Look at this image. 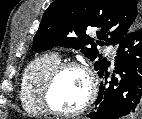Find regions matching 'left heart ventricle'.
<instances>
[{
    "label": "left heart ventricle",
    "instance_id": "1",
    "mask_svg": "<svg viewBox=\"0 0 142 119\" xmlns=\"http://www.w3.org/2000/svg\"><path fill=\"white\" fill-rule=\"evenodd\" d=\"M88 93V82L85 75L76 69L63 72L55 83L51 101L61 111H73L85 101Z\"/></svg>",
    "mask_w": 142,
    "mask_h": 119
}]
</instances>
